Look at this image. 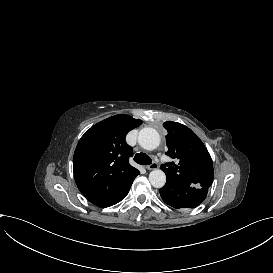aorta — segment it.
Listing matches in <instances>:
<instances>
[{
  "label": "aorta",
  "instance_id": "1",
  "mask_svg": "<svg viewBox=\"0 0 273 273\" xmlns=\"http://www.w3.org/2000/svg\"><path fill=\"white\" fill-rule=\"evenodd\" d=\"M139 145L145 149L152 151L160 145V136L153 128H143L138 135ZM149 181L155 188H161L166 183V174L159 169L153 170L149 174Z\"/></svg>",
  "mask_w": 273,
  "mask_h": 273
}]
</instances>
